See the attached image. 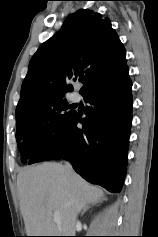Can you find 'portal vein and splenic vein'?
I'll list each match as a JSON object with an SVG mask.
<instances>
[{"mask_svg": "<svg viewBox=\"0 0 158 237\" xmlns=\"http://www.w3.org/2000/svg\"><path fill=\"white\" fill-rule=\"evenodd\" d=\"M53 220L54 222H60V215L57 211H55L53 214Z\"/></svg>", "mask_w": 158, "mask_h": 237, "instance_id": "obj_1", "label": "portal vein and splenic vein"}]
</instances>
